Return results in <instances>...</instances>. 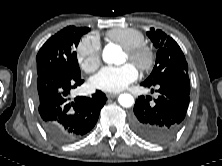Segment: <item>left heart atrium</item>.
I'll use <instances>...</instances> for the list:
<instances>
[{
    "label": "left heart atrium",
    "instance_id": "39dd6f15",
    "mask_svg": "<svg viewBox=\"0 0 222 166\" xmlns=\"http://www.w3.org/2000/svg\"><path fill=\"white\" fill-rule=\"evenodd\" d=\"M138 70L132 63L122 66H106L93 76L92 85L105 92H119L137 80Z\"/></svg>",
    "mask_w": 222,
    "mask_h": 166
}]
</instances>
